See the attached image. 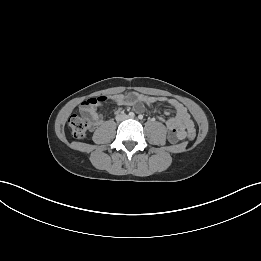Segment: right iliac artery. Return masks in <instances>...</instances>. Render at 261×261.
Wrapping results in <instances>:
<instances>
[{
	"label": "right iliac artery",
	"instance_id": "right-iliac-artery-1",
	"mask_svg": "<svg viewBox=\"0 0 261 261\" xmlns=\"http://www.w3.org/2000/svg\"><path fill=\"white\" fill-rule=\"evenodd\" d=\"M130 117H134L135 116V114L133 113V112H129V114H128Z\"/></svg>",
	"mask_w": 261,
	"mask_h": 261
}]
</instances>
